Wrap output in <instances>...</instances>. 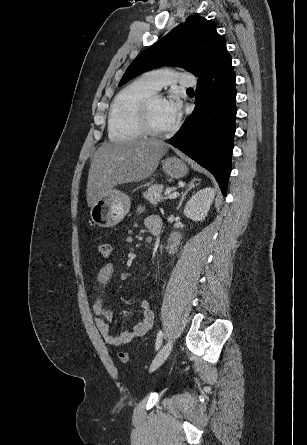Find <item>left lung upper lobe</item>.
<instances>
[{"instance_id":"5c2ea615","label":"left lung upper lobe","mask_w":307,"mask_h":445,"mask_svg":"<svg viewBox=\"0 0 307 445\" xmlns=\"http://www.w3.org/2000/svg\"><path fill=\"white\" fill-rule=\"evenodd\" d=\"M229 56L226 42L214 23L190 16L161 40L141 52L127 68L119 85L138 74L161 66H180L199 77Z\"/></svg>"}]
</instances>
